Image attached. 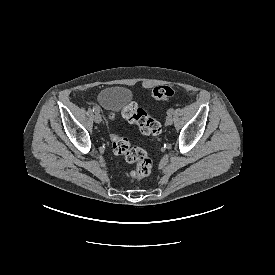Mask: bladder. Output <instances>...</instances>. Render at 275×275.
I'll list each match as a JSON object with an SVG mask.
<instances>
[{"label":"bladder","instance_id":"31cf9c89","mask_svg":"<svg viewBox=\"0 0 275 275\" xmlns=\"http://www.w3.org/2000/svg\"><path fill=\"white\" fill-rule=\"evenodd\" d=\"M131 92L122 86H110L98 94V105L106 111L117 114L127 104Z\"/></svg>","mask_w":275,"mask_h":275}]
</instances>
